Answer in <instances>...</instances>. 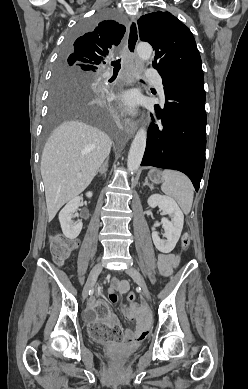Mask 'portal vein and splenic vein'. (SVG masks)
I'll return each instance as SVG.
<instances>
[{"mask_svg":"<svg viewBox=\"0 0 248 389\" xmlns=\"http://www.w3.org/2000/svg\"><path fill=\"white\" fill-rule=\"evenodd\" d=\"M78 177H81V174H78Z\"/></svg>","mask_w":248,"mask_h":389,"instance_id":"obj_1","label":"portal vein and splenic vein"}]
</instances>
